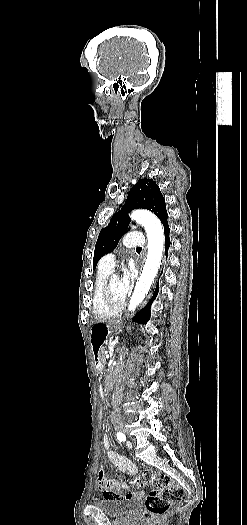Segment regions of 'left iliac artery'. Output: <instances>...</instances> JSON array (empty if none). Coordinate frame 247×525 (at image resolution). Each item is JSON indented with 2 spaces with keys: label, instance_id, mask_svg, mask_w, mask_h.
Here are the masks:
<instances>
[{
  "label": "left iliac artery",
  "instance_id": "1",
  "mask_svg": "<svg viewBox=\"0 0 247 525\" xmlns=\"http://www.w3.org/2000/svg\"><path fill=\"white\" fill-rule=\"evenodd\" d=\"M117 439H118L120 442H125V441H126V437H125V435H124L122 432H118V433H117Z\"/></svg>",
  "mask_w": 247,
  "mask_h": 525
}]
</instances>
